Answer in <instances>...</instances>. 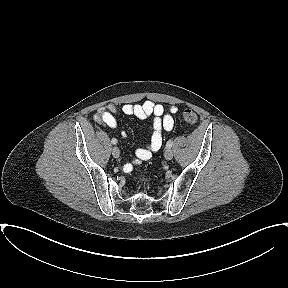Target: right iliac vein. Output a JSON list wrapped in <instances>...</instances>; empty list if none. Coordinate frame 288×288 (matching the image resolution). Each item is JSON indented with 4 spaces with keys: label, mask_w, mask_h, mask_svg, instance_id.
Listing matches in <instances>:
<instances>
[{
    "label": "right iliac vein",
    "mask_w": 288,
    "mask_h": 288,
    "mask_svg": "<svg viewBox=\"0 0 288 288\" xmlns=\"http://www.w3.org/2000/svg\"><path fill=\"white\" fill-rule=\"evenodd\" d=\"M112 155L115 157V158H118L120 156V151L117 147H114L112 149Z\"/></svg>",
    "instance_id": "obj_1"
}]
</instances>
